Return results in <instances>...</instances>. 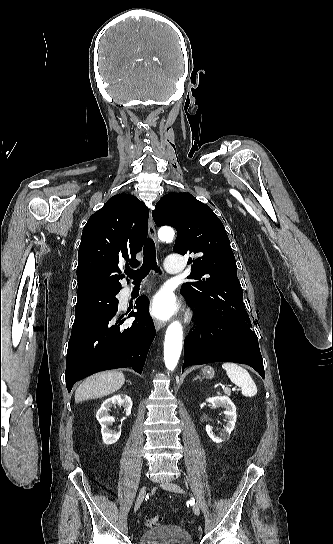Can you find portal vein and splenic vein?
<instances>
[{
	"instance_id": "obj_1",
	"label": "portal vein and splenic vein",
	"mask_w": 333,
	"mask_h": 544,
	"mask_svg": "<svg viewBox=\"0 0 333 544\" xmlns=\"http://www.w3.org/2000/svg\"><path fill=\"white\" fill-rule=\"evenodd\" d=\"M232 390L235 391V390H237V389H236V387H233ZM225 391H230V388L226 387V388H225Z\"/></svg>"
}]
</instances>
